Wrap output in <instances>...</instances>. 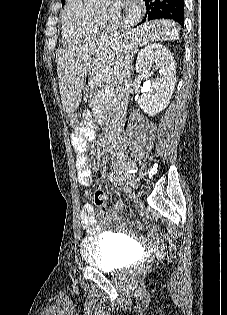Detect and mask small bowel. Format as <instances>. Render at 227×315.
Instances as JSON below:
<instances>
[{"label":"small bowel","mask_w":227,"mask_h":315,"mask_svg":"<svg viewBox=\"0 0 227 315\" xmlns=\"http://www.w3.org/2000/svg\"><path fill=\"white\" fill-rule=\"evenodd\" d=\"M95 135L90 126V117L85 114L83 123L71 134V144L75 155V165L78 170L77 176L80 184L84 187L91 185L92 170L89 164L88 149L90 143L94 142ZM95 155V151H91ZM124 204L117 200L106 214V220H113L118 212L122 210ZM81 228L84 232L95 235L101 230V222L95 216L94 208L90 203H85L80 212ZM139 227L144 229V224L139 223ZM155 234L156 230H150Z\"/></svg>","instance_id":"obj_1"}]
</instances>
